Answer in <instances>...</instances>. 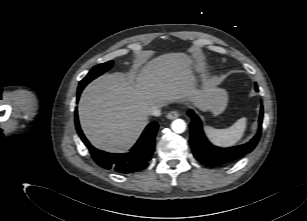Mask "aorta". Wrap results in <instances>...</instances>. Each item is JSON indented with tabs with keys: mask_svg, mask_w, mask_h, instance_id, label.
Masks as SVG:
<instances>
[{
	"mask_svg": "<svg viewBox=\"0 0 307 221\" xmlns=\"http://www.w3.org/2000/svg\"><path fill=\"white\" fill-rule=\"evenodd\" d=\"M171 128L175 133H183L186 130V123L182 119H176L171 123Z\"/></svg>",
	"mask_w": 307,
	"mask_h": 221,
	"instance_id": "762f6f07",
	"label": "aorta"
}]
</instances>
